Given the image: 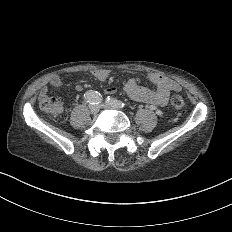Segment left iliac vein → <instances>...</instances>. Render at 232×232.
I'll use <instances>...</instances> for the list:
<instances>
[{"label": "left iliac vein", "instance_id": "left-iliac-vein-1", "mask_svg": "<svg viewBox=\"0 0 232 232\" xmlns=\"http://www.w3.org/2000/svg\"><path fill=\"white\" fill-rule=\"evenodd\" d=\"M100 108H103V105H100ZM104 108H107V105H104Z\"/></svg>", "mask_w": 232, "mask_h": 232}]
</instances>
